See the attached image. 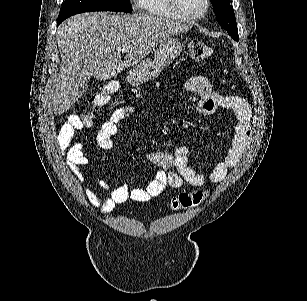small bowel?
I'll return each instance as SVG.
<instances>
[{"label": "small bowel", "instance_id": "small-bowel-1", "mask_svg": "<svg viewBox=\"0 0 307 301\" xmlns=\"http://www.w3.org/2000/svg\"><path fill=\"white\" fill-rule=\"evenodd\" d=\"M187 91L192 94L191 100L196 104L197 110L209 115L222 107L233 111L235 115L234 134L232 143L223 159L218 162L209 175L196 173L188 165L189 147L179 146L174 154L155 151L148 155L150 162L160 167L155 178L145 187L129 190L126 185L110 187L101 180H95L94 184L105 190L101 195L90 188L84 190L87 200L97 206L102 214L111 212L117 204L128 199L145 202L160 195L166 187L180 188L184 183L192 186H202L207 180L212 182L222 181L228 170L235 167L242 158L249 136L251 123V109L248 102L237 95H224L213 91L209 80L204 76H194L185 85ZM133 107L129 105L117 108L104 122L97 134L96 140L100 148L108 150L113 146V136L118 128L133 113ZM82 128L79 116H70L61 127L58 134V146L61 154L74 175L83 179L81 168L88 164V159L82 152V146L74 142L76 132ZM175 169L176 171H172Z\"/></svg>", "mask_w": 307, "mask_h": 301}]
</instances>
